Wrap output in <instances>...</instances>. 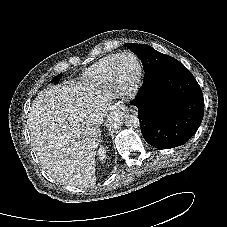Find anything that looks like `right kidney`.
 <instances>
[{
    "label": "right kidney",
    "mask_w": 227,
    "mask_h": 227,
    "mask_svg": "<svg viewBox=\"0 0 227 227\" xmlns=\"http://www.w3.org/2000/svg\"><path fill=\"white\" fill-rule=\"evenodd\" d=\"M97 155H98L99 160L104 162L105 159L107 158L105 148L104 147H100L99 150H98Z\"/></svg>",
    "instance_id": "1"
}]
</instances>
